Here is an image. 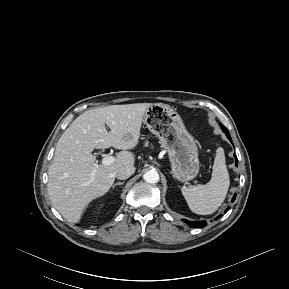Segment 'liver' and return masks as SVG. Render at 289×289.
<instances>
[{
    "label": "liver",
    "mask_w": 289,
    "mask_h": 289,
    "mask_svg": "<svg viewBox=\"0 0 289 289\" xmlns=\"http://www.w3.org/2000/svg\"><path fill=\"white\" fill-rule=\"evenodd\" d=\"M151 105L91 109L78 116L62 134L48 169L47 190L53 206L68 222L78 223L88 204L107 193L117 171L134 165L135 155L127 150L138 145L144 114ZM109 147L123 151L113 164H97L92 151Z\"/></svg>",
    "instance_id": "liver-1"
}]
</instances>
